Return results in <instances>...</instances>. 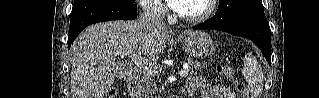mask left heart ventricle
I'll list each match as a JSON object with an SVG mask.
<instances>
[{
	"mask_svg": "<svg viewBox=\"0 0 319 98\" xmlns=\"http://www.w3.org/2000/svg\"><path fill=\"white\" fill-rule=\"evenodd\" d=\"M204 0H191L186 3V8L181 11L185 15H196L204 10Z\"/></svg>",
	"mask_w": 319,
	"mask_h": 98,
	"instance_id": "b2bd125f",
	"label": "left heart ventricle"
}]
</instances>
